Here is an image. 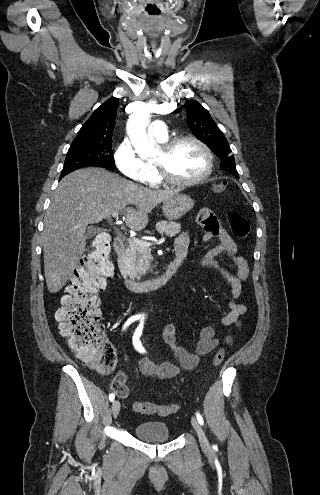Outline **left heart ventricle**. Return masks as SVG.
<instances>
[{"label":"left heart ventricle","instance_id":"left-heart-ventricle-1","mask_svg":"<svg viewBox=\"0 0 320 495\" xmlns=\"http://www.w3.org/2000/svg\"><path fill=\"white\" fill-rule=\"evenodd\" d=\"M155 161H164L169 172L181 179H192L204 173L207 160L202 150L192 142H183L165 157L160 150Z\"/></svg>","mask_w":320,"mask_h":495}]
</instances>
